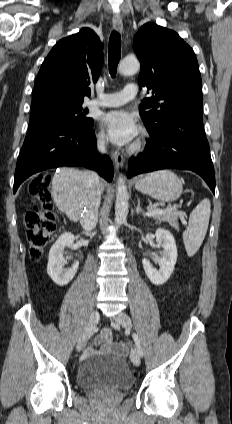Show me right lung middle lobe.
<instances>
[{"label":"right lung middle lobe","instance_id":"dd1d6c3e","mask_svg":"<svg viewBox=\"0 0 232 424\" xmlns=\"http://www.w3.org/2000/svg\"><path fill=\"white\" fill-rule=\"evenodd\" d=\"M31 109L29 128L45 126L82 130L93 125V119L85 117L88 110H82V105L51 103Z\"/></svg>","mask_w":232,"mask_h":424}]
</instances>
